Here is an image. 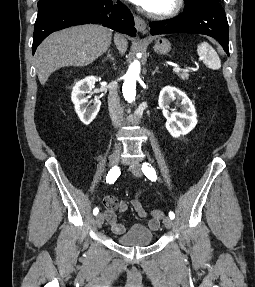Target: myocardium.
<instances>
[{
	"instance_id": "obj_1",
	"label": "myocardium",
	"mask_w": 255,
	"mask_h": 287,
	"mask_svg": "<svg viewBox=\"0 0 255 287\" xmlns=\"http://www.w3.org/2000/svg\"><path fill=\"white\" fill-rule=\"evenodd\" d=\"M144 33H149V32H144ZM163 33H171V32H163ZM138 39H149V38H138ZM160 39H171V38H160ZM168 48H172V47H168Z\"/></svg>"
}]
</instances>
